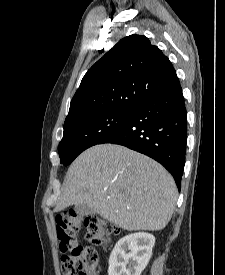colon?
<instances>
[{
    "instance_id": "1",
    "label": "colon",
    "mask_w": 225,
    "mask_h": 275,
    "mask_svg": "<svg viewBox=\"0 0 225 275\" xmlns=\"http://www.w3.org/2000/svg\"><path fill=\"white\" fill-rule=\"evenodd\" d=\"M84 226L86 239L94 246L117 234V229L108 221L97 216H79L64 212L56 220V235L62 251H70L61 259L62 275H93L98 254L92 247L82 248L77 245L76 234Z\"/></svg>"
}]
</instances>
